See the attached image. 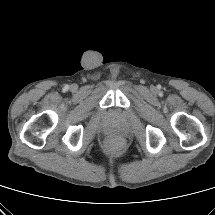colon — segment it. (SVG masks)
<instances>
[{
  "label": "colon",
  "instance_id": "1",
  "mask_svg": "<svg viewBox=\"0 0 215 215\" xmlns=\"http://www.w3.org/2000/svg\"><path fill=\"white\" fill-rule=\"evenodd\" d=\"M108 147L109 148H117V147H119V142L117 140H110L108 142Z\"/></svg>",
  "mask_w": 215,
  "mask_h": 215
}]
</instances>
